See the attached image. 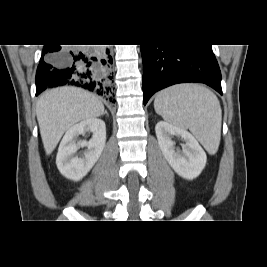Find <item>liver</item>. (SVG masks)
I'll list each match as a JSON object with an SVG mask.
<instances>
[{
	"label": "liver",
	"mask_w": 267,
	"mask_h": 267,
	"mask_svg": "<svg viewBox=\"0 0 267 267\" xmlns=\"http://www.w3.org/2000/svg\"><path fill=\"white\" fill-rule=\"evenodd\" d=\"M104 113L102 102L81 88L60 87L43 94L36 115L46 154L53 152L63 134L76 123Z\"/></svg>",
	"instance_id": "liver-1"
}]
</instances>
